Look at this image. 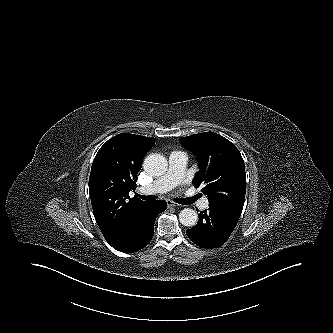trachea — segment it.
Returning <instances> with one entry per match:
<instances>
[{"instance_id":"obj_1","label":"trachea","mask_w":333,"mask_h":333,"mask_svg":"<svg viewBox=\"0 0 333 333\" xmlns=\"http://www.w3.org/2000/svg\"><path fill=\"white\" fill-rule=\"evenodd\" d=\"M139 198H141L142 200H146V201H153L157 199V196L154 195H148V196H144V195H139ZM198 198H200L198 195L190 197V198H176L174 199L175 202L179 203V204H183V205H189L194 203Z\"/></svg>"}]
</instances>
